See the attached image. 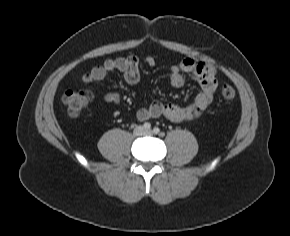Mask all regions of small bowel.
Masks as SVG:
<instances>
[{
    "label": "small bowel",
    "instance_id": "c3829d8e",
    "mask_svg": "<svg viewBox=\"0 0 290 236\" xmlns=\"http://www.w3.org/2000/svg\"><path fill=\"white\" fill-rule=\"evenodd\" d=\"M139 58L136 55L107 59L103 64L95 66L82 76L85 84L103 80L111 71H119L128 84H136L140 80ZM147 66L155 64L153 57L145 59ZM188 74L201 87V91L195 96L191 103L179 106L171 103L153 102L149 106L140 108L136 112V117L140 121L151 118H165L172 122H187L197 119L205 111L213 100L217 88L216 69L214 66L206 64L193 58H185L179 65H173L170 69V83L174 87H182ZM104 100L108 103L119 104L118 93L110 92L104 95Z\"/></svg>",
    "mask_w": 290,
    "mask_h": 236
}]
</instances>
